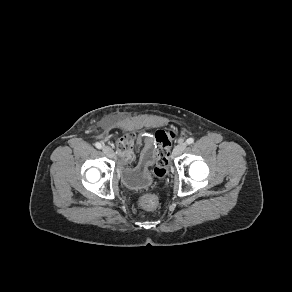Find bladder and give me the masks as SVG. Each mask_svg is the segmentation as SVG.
Returning <instances> with one entry per match:
<instances>
[{"mask_svg": "<svg viewBox=\"0 0 292 292\" xmlns=\"http://www.w3.org/2000/svg\"><path fill=\"white\" fill-rule=\"evenodd\" d=\"M152 176L149 171L135 172L127 170L122 174V182L132 190L146 188L152 184Z\"/></svg>", "mask_w": 292, "mask_h": 292, "instance_id": "1", "label": "bladder"}]
</instances>
